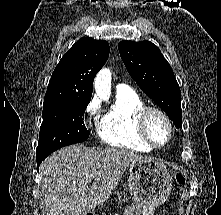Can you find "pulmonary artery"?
<instances>
[{
	"instance_id": "pulmonary-artery-1",
	"label": "pulmonary artery",
	"mask_w": 221,
	"mask_h": 215,
	"mask_svg": "<svg viewBox=\"0 0 221 215\" xmlns=\"http://www.w3.org/2000/svg\"><path fill=\"white\" fill-rule=\"evenodd\" d=\"M125 90H129V86L124 84V83H121L117 86V91H125Z\"/></svg>"
}]
</instances>
